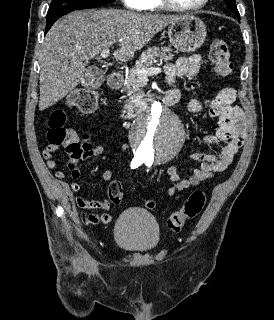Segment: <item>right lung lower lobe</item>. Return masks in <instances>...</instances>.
<instances>
[{
    "label": "right lung lower lobe",
    "mask_w": 274,
    "mask_h": 320,
    "mask_svg": "<svg viewBox=\"0 0 274 320\" xmlns=\"http://www.w3.org/2000/svg\"><path fill=\"white\" fill-rule=\"evenodd\" d=\"M65 14H67V13H65ZM65 14L55 15L51 18H47L45 34L48 32V30L51 28V26L54 24V22Z\"/></svg>",
    "instance_id": "right-lung-lower-lobe-1"
}]
</instances>
